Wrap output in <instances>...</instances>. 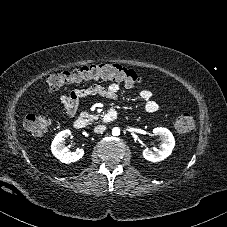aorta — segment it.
I'll return each instance as SVG.
<instances>
[{
  "label": "aorta",
  "instance_id": "aorta-1",
  "mask_svg": "<svg viewBox=\"0 0 227 227\" xmlns=\"http://www.w3.org/2000/svg\"><path fill=\"white\" fill-rule=\"evenodd\" d=\"M112 134H113L114 136L120 135V129H119L118 127L113 128Z\"/></svg>",
  "mask_w": 227,
  "mask_h": 227
}]
</instances>
